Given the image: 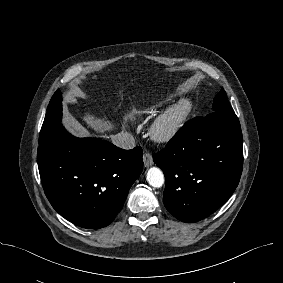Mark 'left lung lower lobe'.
<instances>
[{"label": "left lung lower lobe", "instance_id": "0a47b994", "mask_svg": "<svg viewBox=\"0 0 283 283\" xmlns=\"http://www.w3.org/2000/svg\"><path fill=\"white\" fill-rule=\"evenodd\" d=\"M242 144L234 111H214L186 122L153 154L165 176L166 209L183 222H197L222 206L241 177Z\"/></svg>", "mask_w": 283, "mask_h": 283}]
</instances>
